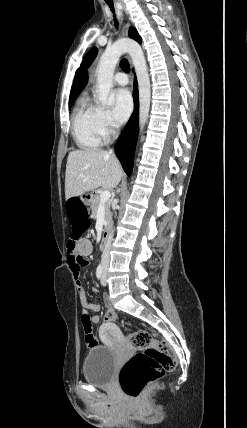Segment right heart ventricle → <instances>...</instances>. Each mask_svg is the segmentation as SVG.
<instances>
[{
  "label": "right heart ventricle",
  "mask_w": 247,
  "mask_h": 428,
  "mask_svg": "<svg viewBox=\"0 0 247 428\" xmlns=\"http://www.w3.org/2000/svg\"><path fill=\"white\" fill-rule=\"evenodd\" d=\"M98 109L84 97L76 106L72 120L73 137L81 149L98 148L102 143V135L98 127Z\"/></svg>",
  "instance_id": "1"
}]
</instances>
